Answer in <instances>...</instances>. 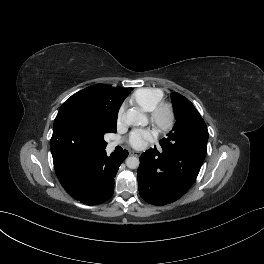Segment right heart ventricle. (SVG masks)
I'll use <instances>...</instances> for the list:
<instances>
[{"label":"right heart ventricle","instance_id":"e07e8e85","mask_svg":"<svg viewBox=\"0 0 264 264\" xmlns=\"http://www.w3.org/2000/svg\"><path fill=\"white\" fill-rule=\"evenodd\" d=\"M164 93L159 88H140L134 91L130 101L145 112H151L162 101Z\"/></svg>","mask_w":264,"mask_h":264}]
</instances>
